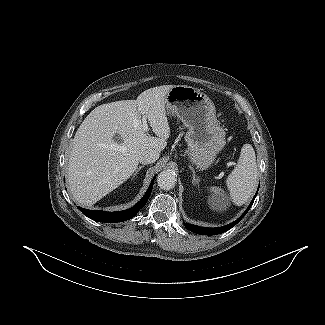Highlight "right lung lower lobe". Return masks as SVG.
<instances>
[{"label":"right lung lower lobe","instance_id":"right-lung-lower-lobe-1","mask_svg":"<svg viewBox=\"0 0 325 325\" xmlns=\"http://www.w3.org/2000/svg\"><path fill=\"white\" fill-rule=\"evenodd\" d=\"M156 177V176H155ZM155 177L152 180V183L150 184L147 192L143 196V198L132 208H129L127 210L119 211V212H105V211H93V210H87L81 207H78L81 212L89 217L90 219L94 221L99 222H122L129 220L137 215L138 211L146 204L151 191L153 187V181L155 180Z\"/></svg>","mask_w":325,"mask_h":325}]
</instances>
